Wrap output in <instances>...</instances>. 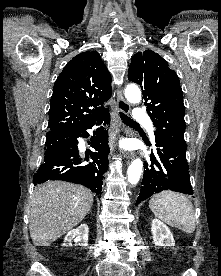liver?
<instances>
[{
	"label": "liver",
	"mask_w": 221,
	"mask_h": 276,
	"mask_svg": "<svg viewBox=\"0 0 221 276\" xmlns=\"http://www.w3.org/2000/svg\"><path fill=\"white\" fill-rule=\"evenodd\" d=\"M93 204V193L82 185L50 181L39 185L28 204L30 237L48 246L77 226Z\"/></svg>",
	"instance_id": "liver-1"
}]
</instances>
